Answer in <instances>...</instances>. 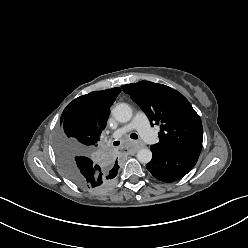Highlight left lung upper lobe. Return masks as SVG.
I'll use <instances>...</instances> for the list:
<instances>
[{
	"instance_id": "obj_1",
	"label": "left lung upper lobe",
	"mask_w": 248,
	"mask_h": 248,
	"mask_svg": "<svg viewBox=\"0 0 248 248\" xmlns=\"http://www.w3.org/2000/svg\"><path fill=\"white\" fill-rule=\"evenodd\" d=\"M147 114L151 125H160V141L151 147L163 151L202 148L203 129L199 115L178 91L149 81L121 87Z\"/></svg>"
}]
</instances>
